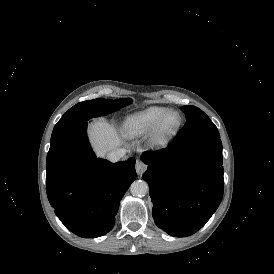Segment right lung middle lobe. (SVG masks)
Listing matches in <instances>:
<instances>
[{"label": "right lung middle lobe", "instance_id": "1", "mask_svg": "<svg viewBox=\"0 0 274 274\" xmlns=\"http://www.w3.org/2000/svg\"><path fill=\"white\" fill-rule=\"evenodd\" d=\"M130 103H132L130 98L117 100L99 98L76 104L70 108L55 125L51 136V143L62 138L92 117L105 116Z\"/></svg>", "mask_w": 274, "mask_h": 274}]
</instances>
